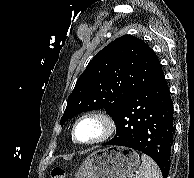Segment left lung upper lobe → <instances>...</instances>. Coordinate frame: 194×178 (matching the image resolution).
<instances>
[{
  "instance_id": "obj_1",
  "label": "left lung upper lobe",
  "mask_w": 194,
  "mask_h": 178,
  "mask_svg": "<svg viewBox=\"0 0 194 178\" xmlns=\"http://www.w3.org/2000/svg\"><path fill=\"white\" fill-rule=\"evenodd\" d=\"M162 74L156 54L143 40L121 36L89 62L68 97L60 123L89 110L105 109L112 116L127 97Z\"/></svg>"
}]
</instances>
